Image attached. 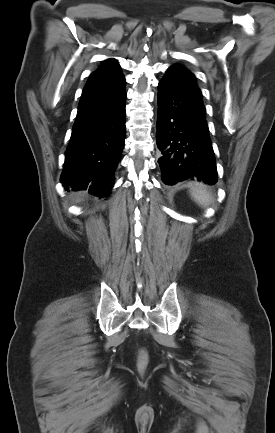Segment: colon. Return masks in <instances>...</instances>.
<instances>
[{
  "label": "colon",
  "mask_w": 275,
  "mask_h": 433,
  "mask_svg": "<svg viewBox=\"0 0 275 433\" xmlns=\"http://www.w3.org/2000/svg\"><path fill=\"white\" fill-rule=\"evenodd\" d=\"M148 365V357L147 353L144 349H141L139 352L137 367L140 372H144Z\"/></svg>",
  "instance_id": "obj_1"
}]
</instances>
